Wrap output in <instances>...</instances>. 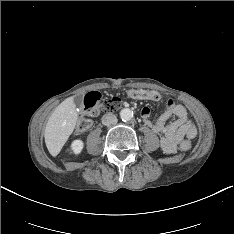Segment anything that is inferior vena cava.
<instances>
[{"label": "inferior vena cava", "instance_id": "1", "mask_svg": "<svg viewBox=\"0 0 234 234\" xmlns=\"http://www.w3.org/2000/svg\"><path fill=\"white\" fill-rule=\"evenodd\" d=\"M117 122V118L113 113H107L102 117L103 125H112Z\"/></svg>", "mask_w": 234, "mask_h": 234}]
</instances>
